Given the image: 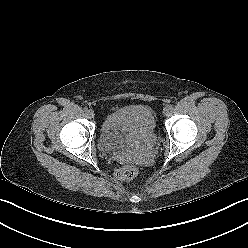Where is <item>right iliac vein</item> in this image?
<instances>
[{"label": "right iliac vein", "mask_w": 248, "mask_h": 248, "mask_svg": "<svg viewBox=\"0 0 248 248\" xmlns=\"http://www.w3.org/2000/svg\"><path fill=\"white\" fill-rule=\"evenodd\" d=\"M87 115H88V117H90V118H94L95 113H94L93 110H88Z\"/></svg>", "instance_id": "obj_1"}]
</instances>
